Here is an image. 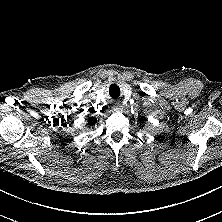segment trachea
I'll return each instance as SVG.
<instances>
[{
	"instance_id": "obj_1",
	"label": "trachea",
	"mask_w": 222,
	"mask_h": 222,
	"mask_svg": "<svg viewBox=\"0 0 222 222\" xmlns=\"http://www.w3.org/2000/svg\"><path fill=\"white\" fill-rule=\"evenodd\" d=\"M111 89L114 90V92H116V93H118V94L120 93V92H119V89H118V86L115 85V84L111 85L109 91H111ZM109 93H110V92H109ZM111 97L116 98V97H118V96H117V95H116V96H112V95H111Z\"/></svg>"
}]
</instances>
